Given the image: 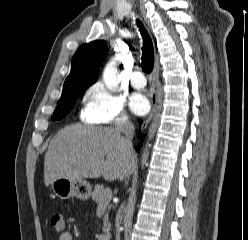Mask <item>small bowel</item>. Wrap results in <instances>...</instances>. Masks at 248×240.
I'll use <instances>...</instances> for the list:
<instances>
[{"label":"small bowel","mask_w":248,"mask_h":240,"mask_svg":"<svg viewBox=\"0 0 248 240\" xmlns=\"http://www.w3.org/2000/svg\"><path fill=\"white\" fill-rule=\"evenodd\" d=\"M59 240H73V235L69 231H64L60 234Z\"/></svg>","instance_id":"c3829d8e"}]
</instances>
